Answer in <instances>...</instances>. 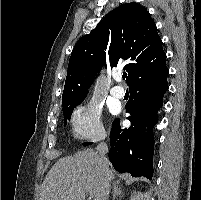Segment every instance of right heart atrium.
<instances>
[{
  "instance_id": "d8ad5b80",
  "label": "right heart atrium",
  "mask_w": 201,
  "mask_h": 200,
  "mask_svg": "<svg viewBox=\"0 0 201 200\" xmlns=\"http://www.w3.org/2000/svg\"><path fill=\"white\" fill-rule=\"evenodd\" d=\"M71 126L74 136L80 139L99 141L106 135L101 121V110L94 103L77 107L71 117Z\"/></svg>"
}]
</instances>
